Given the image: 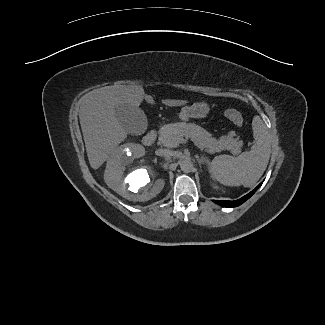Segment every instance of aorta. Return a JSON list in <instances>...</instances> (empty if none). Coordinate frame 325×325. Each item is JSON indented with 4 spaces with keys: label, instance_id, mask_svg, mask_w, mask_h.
Segmentation results:
<instances>
[{
    "label": "aorta",
    "instance_id": "aorta-1",
    "mask_svg": "<svg viewBox=\"0 0 325 325\" xmlns=\"http://www.w3.org/2000/svg\"><path fill=\"white\" fill-rule=\"evenodd\" d=\"M180 168L184 173H189L193 168V164L190 160H183L180 163Z\"/></svg>",
    "mask_w": 325,
    "mask_h": 325
}]
</instances>
